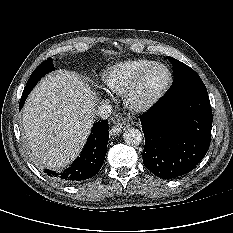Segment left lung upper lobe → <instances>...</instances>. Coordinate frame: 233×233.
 <instances>
[{
	"label": "left lung upper lobe",
	"instance_id": "obj_1",
	"mask_svg": "<svg viewBox=\"0 0 233 233\" xmlns=\"http://www.w3.org/2000/svg\"><path fill=\"white\" fill-rule=\"evenodd\" d=\"M174 67L175 82L168 94H177L186 91H207L199 75L189 66L179 60L168 57Z\"/></svg>",
	"mask_w": 233,
	"mask_h": 233
}]
</instances>
